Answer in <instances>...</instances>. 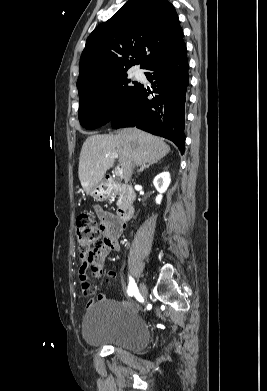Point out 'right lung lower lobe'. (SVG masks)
<instances>
[{
  "label": "right lung lower lobe",
  "instance_id": "right-lung-lower-lobe-1",
  "mask_svg": "<svg viewBox=\"0 0 267 391\" xmlns=\"http://www.w3.org/2000/svg\"><path fill=\"white\" fill-rule=\"evenodd\" d=\"M145 69L155 95L148 100L150 89L141 85L130 101L114 114L113 128L134 127L165 137L181 153L185 149L184 107L189 84L186 44L153 60Z\"/></svg>",
  "mask_w": 267,
  "mask_h": 391
}]
</instances>
